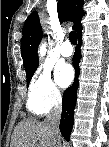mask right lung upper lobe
I'll use <instances>...</instances> for the list:
<instances>
[{
    "mask_svg": "<svg viewBox=\"0 0 109 147\" xmlns=\"http://www.w3.org/2000/svg\"><path fill=\"white\" fill-rule=\"evenodd\" d=\"M83 0H60L58 3V14L61 21L71 20L73 28L77 33L82 29L81 18L84 16L82 10ZM21 39V54L26 72L38 67L37 48L42 39V28L37 12H32L26 19Z\"/></svg>",
    "mask_w": 109,
    "mask_h": 147,
    "instance_id": "cb5924a9",
    "label": "right lung upper lobe"
}]
</instances>
